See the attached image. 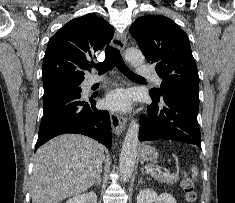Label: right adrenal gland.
Returning <instances> with one entry per match:
<instances>
[{
  "mask_svg": "<svg viewBox=\"0 0 235 203\" xmlns=\"http://www.w3.org/2000/svg\"><path fill=\"white\" fill-rule=\"evenodd\" d=\"M94 185L97 186V185H101V175L99 174L97 180L94 182Z\"/></svg>",
  "mask_w": 235,
  "mask_h": 203,
  "instance_id": "1",
  "label": "right adrenal gland"
}]
</instances>
